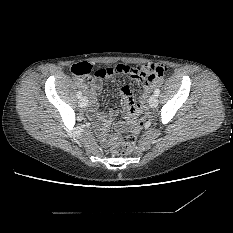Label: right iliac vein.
Listing matches in <instances>:
<instances>
[{
  "label": "right iliac vein",
  "instance_id": "1",
  "mask_svg": "<svg viewBox=\"0 0 233 233\" xmlns=\"http://www.w3.org/2000/svg\"><path fill=\"white\" fill-rule=\"evenodd\" d=\"M87 103H88V100H87V98L85 96L80 98L79 106L81 108H85L87 106Z\"/></svg>",
  "mask_w": 233,
  "mask_h": 233
}]
</instances>
